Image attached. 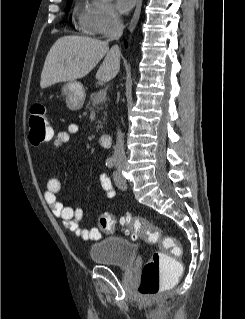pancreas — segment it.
<instances>
[{
  "instance_id": "pancreas-1",
  "label": "pancreas",
  "mask_w": 245,
  "mask_h": 319,
  "mask_svg": "<svg viewBox=\"0 0 245 319\" xmlns=\"http://www.w3.org/2000/svg\"><path fill=\"white\" fill-rule=\"evenodd\" d=\"M97 94L98 93H93V94H91V96H90V99H89V101H88V103H87V105H86V109L87 110H93V107L95 106V104H96V97H97ZM97 109L98 110H102L103 108H102V105L100 106V107H97ZM102 128V122L101 121H98V125H97V127H96V129L97 130H99V129H101Z\"/></svg>"
}]
</instances>
